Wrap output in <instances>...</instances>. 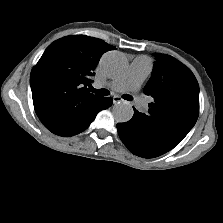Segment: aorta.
<instances>
[{
    "label": "aorta",
    "mask_w": 223,
    "mask_h": 223,
    "mask_svg": "<svg viewBox=\"0 0 223 223\" xmlns=\"http://www.w3.org/2000/svg\"><path fill=\"white\" fill-rule=\"evenodd\" d=\"M125 66V60L115 53H108L100 60V67L108 76H117ZM112 114L116 122L125 123L132 118L134 111L129 103L119 102L113 106Z\"/></svg>",
    "instance_id": "762f6f07"
}]
</instances>
